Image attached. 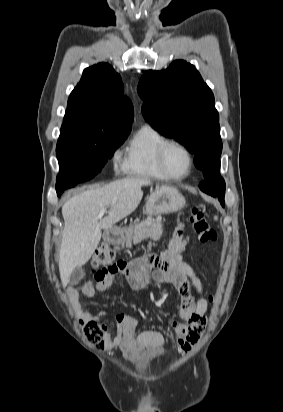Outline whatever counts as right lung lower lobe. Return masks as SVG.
Here are the masks:
<instances>
[{"label": "right lung lower lobe", "mask_w": 283, "mask_h": 412, "mask_svg": "<svg viewBox=\"0 0 283 412\" xmlns=\"http://www.w3.org/2000/svg\"><path fill=\"white\" fill-rule=\"evenodd\" d=\"M78 183H80V182H78V181H63V182L56 183L57 195L60 196L65 189L74 187Z\"/></svg>", "instance_id": "obj_1"}]
</instances>
